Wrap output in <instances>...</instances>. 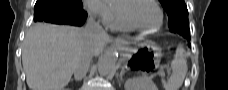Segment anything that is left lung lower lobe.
<instances>
[{"label": "left lung lower lobe", "instance_id": "left-lung-lower-lobe-1", "mask_svg": "<svg viewBox=\"0 0 228 90\" xmlns=\"http://www.w3.org/2000/svg\"><path fill=\"white\" fill-rule=\"evenodd\" d=\"M172 32H175V31H172ZM179 33L180 35H182L183 37L187 38L188 40H190V35L189 33H180V32H177Z\"/></svg>", "mask_w": 228, "mask_h": 90}]
</instances>
